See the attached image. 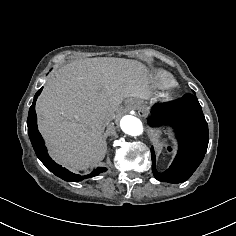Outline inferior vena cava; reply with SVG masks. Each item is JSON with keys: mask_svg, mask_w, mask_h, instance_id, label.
<instances>
[{"mask_svg": "<svg viewBox=\"0 0 236 236\" xmlns=\"http://www.w3.org/2000/svg\"><path fill=\"white\" fill-rule=\"evenodd\" d=\"M113 121H114V116H112L111 114H108V115L105 117V122H106V123L111 124Z\"/></svg>", "mask_w": 236, "mask_h": 236, "instance_id": "602c4592", "label": "inferior vena cava"}]
</instances>
